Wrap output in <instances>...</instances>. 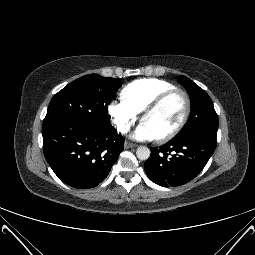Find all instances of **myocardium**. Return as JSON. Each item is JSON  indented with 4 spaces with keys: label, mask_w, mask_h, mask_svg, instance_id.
I'll list each match as a JSON object with an SVG mask.
<instances>
[{
    "label": "myocardium",
    "mask_w": 255,
    "mask_h": 255,
    "mask_svg": "<svg viewBox=\"0 0 255 255\" xmlns=\"http://www.w3.org/2000/svg\"><path fill=\"white\" fill-rule=\"evenodd\" d=\"M174 94H181L183 96L184 101H185L184 113H183V116H182L181 120L179 121V123L177 124V126L175 128H173L167 134L157 138V140L159 142H166V141H169V140L173 139L174 137H176L181 132V130L186 125V123L189 119L190 113H191V99H190V96H189L188 92L181 89V88H173V89H170L168 91H165V92L161 93L160 95H158L153 101H151L144 108V110L141 112V120L143 121V119L146 115H148L149 113L155 111L168 98H170Z\"/></svg>",
    "instance_id": "f54148a6"
}]
</instances>
